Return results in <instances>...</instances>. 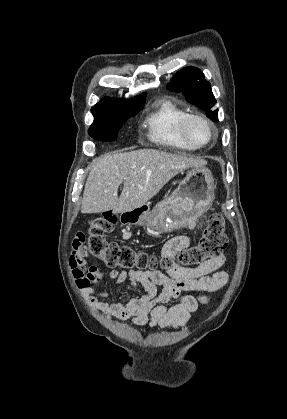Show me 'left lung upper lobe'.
<instances>
[{"instance_id": "5c2ea615", "label": "left lung upper lobe", "mask_w": 287, "mask_h": 419, "mask_svg": "<svg viewBox=\"0 0 287 419\" xmlns=\"http://www.w3.org/2000/svg\"><path fill=\"white\" fill-rule=\"evenodd\" d=\"M167 88L177 93H183L186 99L196 107L206 111L213 121H218V110L211 108L216 104L210 83L204 79V74L195 67H185L178 71Z\"/></svg>"}]
</instances>
